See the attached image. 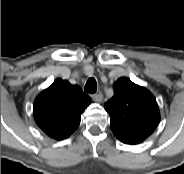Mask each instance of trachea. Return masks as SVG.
<instances>
[{
  "label": "trachea",
  "instance_id": "obj_1",
  "mask_svg": "<svg viewBox=\"0 0 184 174\" xmlns=\"http://www.w3.org/2000/svg\"><path fill=\"white\" fill-rule=\"evenodd\" d=\"M97 90V83L95 78H89L85 84L84 91L87 93H95Z\"/></svg>",
  "mask_w": 184,
  "mask_h": 174
}]
</instances>
